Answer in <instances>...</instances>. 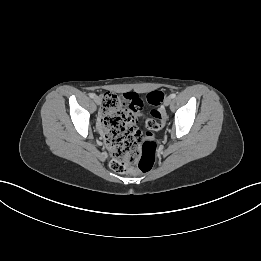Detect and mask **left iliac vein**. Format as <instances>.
I'll return each instance as SVG.
<instances>
[{
    "label": "left iliac vein",
    "instance_id": "1",
    "mask_svg": "<svg viewBox=\"0 0 261 261\" xmlns=\"http://www.w3.org/2000/svg\"><path fill=\"white\" fill-rule=\"evenodd\" d=\"M172 102V98L170 96L166 97L165 100H164V105L165 106H168L170 105Z\"/></svg>",
    "mask_w": 261,
    "mask_h": 261
}]
</instances>
